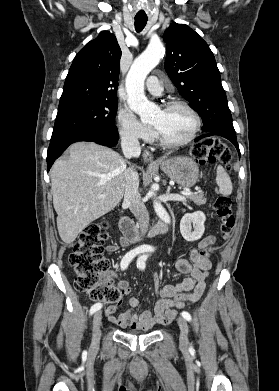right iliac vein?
<instances>
[{"instance_id": "1", "label": "right iliac vein", "mask_w": 279, "mask_h": 391, "mask_svg": "<svg viewBox=\"0 0 279 391\" xmlns=\"http://www.w3.org/2000/svg\"><path fill=\"white\" fill-rule=\"evenodd\" d=\"M102 323V313L101 311H98L94 314L93 317V326H92V331H93V345H96L99 342L101 331H100V326Z\"/></svg>"}]
</instances>
